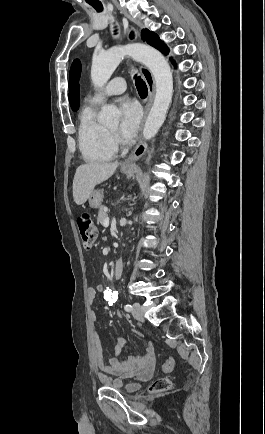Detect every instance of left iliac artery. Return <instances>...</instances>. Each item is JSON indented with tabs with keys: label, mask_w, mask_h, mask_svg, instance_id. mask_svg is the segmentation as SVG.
I'll list each match as a JSON object with an SVG mask.
<instances>
[{
	"label": "left iliac artery",
	"mask_w": 265,
	"mask_h": 434,
	"mask_svg": "<svg viewBox=\"0 0 265 434\" xmlns=\"http://www.w3.org/2000/svg\"><path fill=\"white\" fill-rule=\"evenodd\" d=\"M124 309H125L126 311H131V310H132V306H131L130 304H126V305L124 306Z\"/></svg>",
	"instance_id": "left-iliac-artery-1"
}]
</instances>
